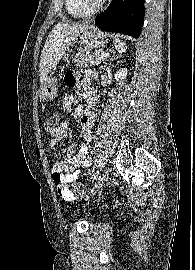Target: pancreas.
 I'll use <instances>...</instances> for the list:
<instances>
[{
	"instance_id": "pancreas-1",
	"label": "pancreas",
	"mask_w": 195,
	"mask_h": 270,
	"mask_svg": "<svg viewBox=\"0 0 195 270\" xmlns=\"http://www.w3.org/2000/svg\"><path fill=\"white\" fill-rule=\"evenodd\" d=\"M106 58H102L100 53L88 54L85 52H79L74 58L75 66L88 67L89 65H98L104 62Z\"/></svg>"
}]
</instances>
